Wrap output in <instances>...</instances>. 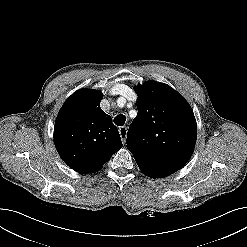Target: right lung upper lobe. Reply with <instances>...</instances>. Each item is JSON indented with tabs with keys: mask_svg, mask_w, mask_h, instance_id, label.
<instances>
[{
	"mask_svg": "<svg viewBox=\"0 0 247 247\" xmlns=\"http://www.w3.org/2000/svg\"><path fill=\"white\" fill-rule=\"evenodd\" d=\"M99 90L80 89L56 118L54 143L62 160L81 174L98 171L121 147L118 129L100 108Z\"/></svg>",
	"mask_w": 247,
	"mask_h": 247,
	"instance_id": "cb5924a9",
	"label": "right lung upper lobe"
}]
</instances>
